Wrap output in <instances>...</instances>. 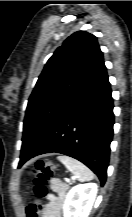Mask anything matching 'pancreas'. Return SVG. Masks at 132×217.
I'll list each match as a JSON object with an SVG mask.
<instances>
[{"label": "pancreas", "instance_id": "cf45deb5", "mask_svg": "<svg viewBox=\"0 0 132 217\" xmlns=\"http://www.w3.org/2000/svg\"><path fill=\"white\" fill-rule=\"evenodd\" d=\"M68 188H69L68 185H64V186H63V189H62L61 192H60V195L63 196V197H65V193H66V191L68 190Z\"/></svg>", "mask_w": 132, "mask_h": 217}]
</instances>
